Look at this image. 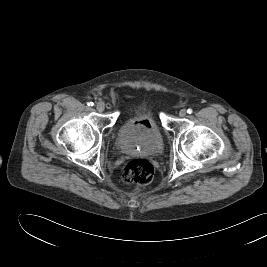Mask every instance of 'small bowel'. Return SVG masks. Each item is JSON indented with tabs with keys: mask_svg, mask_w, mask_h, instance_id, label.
I'll return each mask as SVG.
<instances>
[{
	"mask_svg": "<svg viewBox=\"0 0 267 267\" xmlns=\"http://www.w3.org/2000/svg\"><path fill=\"white\" fill-rule=\"evenodd\" d=\"M136 126L141 131H149L152 128V122L148 119L136 121Z\"/></svg>",
	"mask_w": 267,
	"mask_h": 267,
	"instance_id": "obj_1",
	"label": "small bowel"
}]
</instances>
